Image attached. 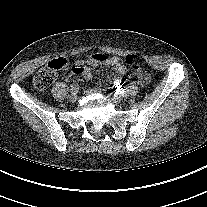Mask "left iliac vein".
Instances as JSON below:
<instances>
[{"label":"left iliac vein","mask_w":207,"mask_h":207,"mask_svg":"<svg viewBox=\"0 0 207 207\" xmlns=\"http://www.w3.org/2000/svg\"><path fill=\"white\" fill-rule=\"evenodd\" d=\"M89 93H95V92H102L101 89H96V88H91L88 90ZM107 97L111 100V102L115 105H118L121 103V99L120 97L117 96H109L107 95Z\"/></svg>","instance_id":"1"}]
</instances>
